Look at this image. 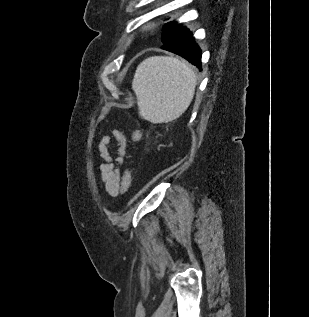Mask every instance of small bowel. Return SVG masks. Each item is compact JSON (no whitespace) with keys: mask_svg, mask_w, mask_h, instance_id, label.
I'll return each mask as SVG.
<instances>
[{"mask_svg":"<svg viewBox=\"0 0 309 317\" xmlns=\"http://www.w3.org/2000/svg\"><path fill=\"white\" fill-rule=\"evenodd\" d=\"M112 137L104 136L100 139L98 149L103 159L97 168L100 174V181L104 190L112 197L122 192V173L120 165L123 163L127 153V138L122 130L113 129ZM115 141V151L111 152L109 146Z\"/></svg>","mask_w":309,"mask_h":317,"instance_id":"small-bowel-1","label":"small bowel"}]
</instances>
